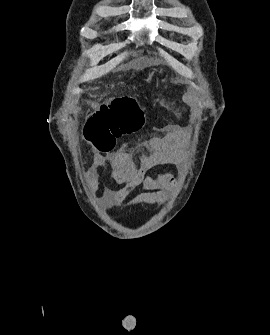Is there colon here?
Returning a JSON list of instances; mask_svg holds the SVG:
<instances>
[{"instance_id": "5ec220e1", "label": "colon", "mask_w": 270, "mask_h": 335, "mask_svg": "<svg viewBox=\"0 0 270 335\" xmlns=\"http://www.w3.org/2000/svg\"><path fill=\"white\" fill-rule=\"evenodd\" d=\"M110 110H96L95 116H89L85 126V136L93 141L94 146L102 153L113 148V141H102L100 134H112L114 137L139 132L146 118L137 98L129 96L118 101H111Z\"/></svg>"}]
</instances>
